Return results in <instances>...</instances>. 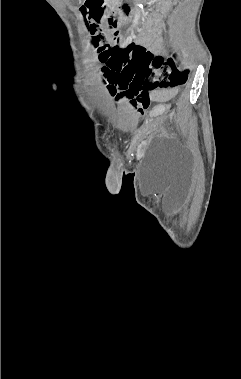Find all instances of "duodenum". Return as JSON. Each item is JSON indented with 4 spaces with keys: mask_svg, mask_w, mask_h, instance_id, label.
<instances>
[{
    "mask_svg": "<svg viewBox=\"0 0 241 379\" xmlns=\"http://www.w3.org/2000/svg\"><path fill=\"white\" fill-rule=\"evenodd\" d=\"M106 2L114 10L113 20L115 22H123L128 18L129 5L127 2L122 1L117 3L116 0H106Z\"/></svg>",
    "mask_w": 241,
    "mask_h": 379,
    "instance_id": "1",
    "label": "duodenum"
}]
</instances>
